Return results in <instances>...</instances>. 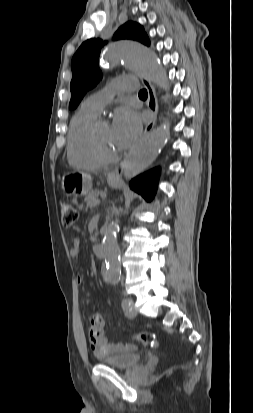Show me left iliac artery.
<instances>
[{
    "label": "left iliac artery",
    "mask_w": 253,
    "mask_h": 413,
    "mask_svg": "<svg viewBox=\"0 0 253 413\" xmlns=\"http://www.w3.org/2000/svg\"><path fill=\"white\" fill-rule=\"evenodd\" d=\"M123 307H128L130 305V299L126 298L122 302Z\"/></svg>",
    "instance_id": "44dca946"
}]
</instances>
